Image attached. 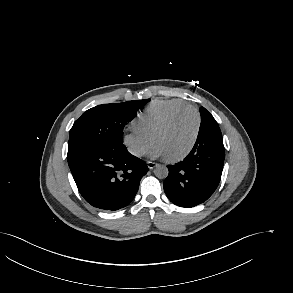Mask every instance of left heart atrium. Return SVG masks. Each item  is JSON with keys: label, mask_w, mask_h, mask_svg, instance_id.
<instances>
[{"label": "left heart atrium", "mask_w": 293, "mask_h": 293, "mask_svg": "<svg viewBox=\"0 0 293 293\" xmlns=\"http://www.w3.org/2000/svg\"><path fill=\"white\" fill-rule=\"evenodd\" d=\"M150 157L157 158V157H164L165 154L163 150L157 144H154L149 153Z\"/></svg>", "instance_id": "obj_1"}]
</instances>
